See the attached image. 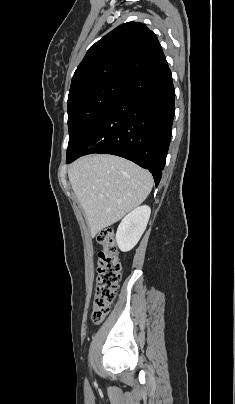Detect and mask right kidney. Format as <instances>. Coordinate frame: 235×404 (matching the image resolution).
<instances>
[{"label": "right kidney", "instance_id": "ca27d5eb", "mask_svg": "<svg viewBox=\"0 0 235 404\" xmlns=\"http://www.w3.org/2000/svg\"><path fill=\"white\" fill-rule=\"evenodd\" d=\"M151 209L141 206L130 212L120 223L116 233V241L123 252L130 251L139 241L146 229Z\"/></svg>", "mask_w": 235, "mask_h": 404}]
</instances>
